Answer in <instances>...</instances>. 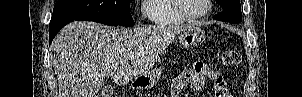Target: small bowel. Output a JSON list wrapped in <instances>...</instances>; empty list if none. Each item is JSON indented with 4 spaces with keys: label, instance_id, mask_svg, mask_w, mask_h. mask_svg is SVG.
<instances>
[{
    "label": "small bowel",
    "instance_id": "obj_1",
    "mask_svg": "<svg viewBox=\"0 0 302 97\" xmlns=\"http://www.w3.org/2000/svg\"><path fill=\"white\" fill-rule=\"evenodd\" d=\"M206 79L213 82L215 97H232L231 91L222 75L200 62L195 63L173 79L170 97H180L187 86L199 91L203 88Z\"/></svg>",
    "mask_w": 302,
    "mask_h": 97
}]
</instances>
